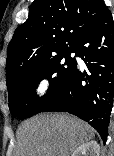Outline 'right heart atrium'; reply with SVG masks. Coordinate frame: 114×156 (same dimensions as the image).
<instances>
[{
  "label": "right heart atrium",
  "mask_w": 114,
  "mask_h": 156,
  "mask_svg": "<svg viewBox=\"0 0 114 156\" xmlns=\"http://www.w3.org/2000/svg\"><path fill=\"white\" fill-rule=\"evenodd\" d=\"M49 86H50L49 78L47 77L39 78L34 87L35 96L43 97L47 93Z\"/></svg>",
  "instance_id": "obj_1"
}]
</instances>
